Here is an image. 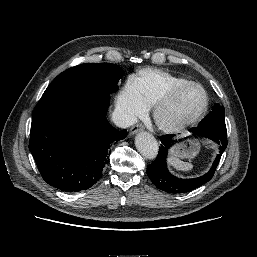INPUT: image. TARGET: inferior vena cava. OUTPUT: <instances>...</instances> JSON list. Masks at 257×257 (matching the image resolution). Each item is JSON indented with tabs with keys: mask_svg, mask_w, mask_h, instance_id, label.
<instances>
[{
	"mask_svg": "<svg viewBox=\"0 0 257 257\" xmlns=\"http://www.w3.org/2000/svg\"><path fill=\"white\" fill-rule=\"evenodd\" d=\"M113 122L121 128H128L137 122V117L129 110L116 107L112 114Z\"/></svg>",
	"mask_w": 257,
	"mask_h": 257,
	"instance_id": "602c4592",
	"label": "inferior vena cava"
}]
</instances>
